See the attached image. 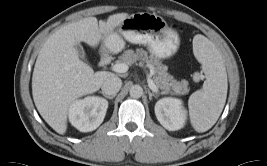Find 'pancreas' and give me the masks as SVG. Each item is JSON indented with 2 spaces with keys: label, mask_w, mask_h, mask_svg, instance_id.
Returning a JSON list of instances; mask_svg holds the SVG:
<instances>
[{
  "label": "pancreas",
  "mask_w": 267,
  "mask_h": 166,
  "mask_svg": "<svg viewBox=\"0 0 267 166\" xmlns=\"http://www.w3.org/2000/svg\"><path fill=\"white\" fill-rule=\"evenodd\" d=\"M119 60L127 65H132L139 61L140 65L148 67L152 72L153 82L161 90L177 94H185L189 91L186 80H175L173 76L167 73V66L163 65L154 56H148L147 52L142 49H137L136 51L128 49L119 56Z\"/></svg>",
  "instance_id": "pancreas-1"
}]
</instances>
